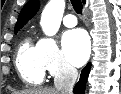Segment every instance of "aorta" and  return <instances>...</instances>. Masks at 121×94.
<instances>
[{"instance_id": "762f6f07", "label": "aorta", "mask_w": 121, "mask_h": 94, "mask_svg": "<svg viewBox=\"0 0 121 94\" xmlns=\"http://www.w3.org/2000/svg\"><path fill=\"white\" fill-rule=\"evenodd\" d=\"M65 9V0H50L45 6L42 14L40 25L45 35H55L61 25Z\"/></svg>"}]
</instances>
